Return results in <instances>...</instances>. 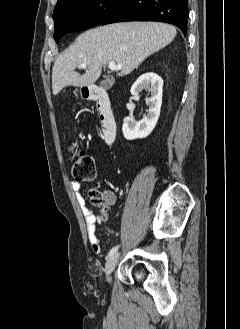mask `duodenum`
<instances>
[{
    "label": "duodenum",
    "instance_id": "1",
    "mask_svg": "<svg viewBox=\"0 0 240 329\" xmlns=\"http://www.w3.org/2000/svg\"><path fill=\"white\" fill-rule=\"evenodd\" d=\"M84 90L85 97L96 102L104 140L113 143L117 136V121L108 94L97 85L86 86Z\"/></svg>",
    "mask_w": 240,
    "mask_h": 329
}]
</instances>
